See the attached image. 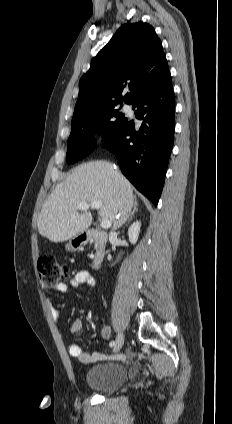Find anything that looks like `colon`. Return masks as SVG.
I'll return each instance as SVG.
<instances>
[{"instance_id":"5ec220e1","label":"colon","mask_w":232,"mask_h":424,"mask_svg":"<svg viewBox=\"0 0 232 424\" xmlns=\"http://www.w3.org/2000/svg\"><path fill=\"white\" fill-rule=\"evenodd\" d=\"M38 273L43 287H55L69 277V267L52 254H43L38 260Z\"/></svg>"}]
</instances>
